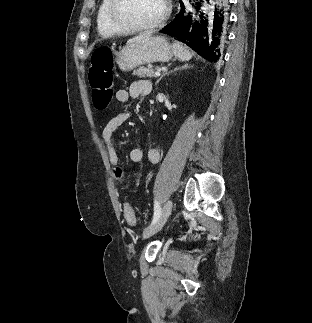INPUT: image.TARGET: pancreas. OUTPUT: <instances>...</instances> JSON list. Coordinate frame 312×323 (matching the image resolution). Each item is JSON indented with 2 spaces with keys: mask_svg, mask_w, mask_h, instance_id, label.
<instances>
[{
  "mask_svg": "<svg viewBox=\"0 0 312 323\" xmlns=\"http://www.w3.org/2000/svg\"><path fill=\"white\" fill-rule=\"evenodd\" d=\"M133 76H138V78H156L152 68H138V70H134Z\"/></svg>",
  "mask_w": 312,
  "mask_h": 323,
  "instance_id": "cf45deb5",
  "label": "pancreas"
}]
</instances>
